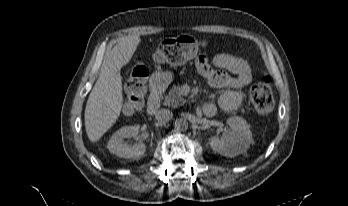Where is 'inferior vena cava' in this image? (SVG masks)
<instances>
[{"instance_id": "602c4592", "label": "inferior vena cava", "mask_w": 348, "mask_h": 206, "mask_svg": "<svg viewBox=\"0 0 348 206\" xmlns=\"http://www.w3.org/2000/svg\"><path fill=\"white\" fill-rule=\"evenodd\" d=\"M173 117L172 111L169 109H160L156 112L155 118L161 123L169 122Z\"/></svg>"}]
</instances>
